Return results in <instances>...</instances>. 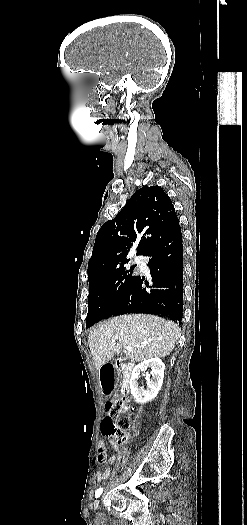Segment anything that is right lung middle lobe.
<instances>
[{
  "instance_id": "right-lung-middle-lobe-1",
  "label": "right lung middle lobe",
  "mask_w": 247,
  "mask_h": 525,
  "mask_svg": "<svg viewBox=\"0 0 247 525\" xmlns=\"http://www.w3.org/2000/svg\"><path fill=\"white\" fill-rule=\"evenodd\" d=\"M132 266L88 274L89 299L86 327L114 315L136 276Z\"/></svg>"
}]
</instances>
